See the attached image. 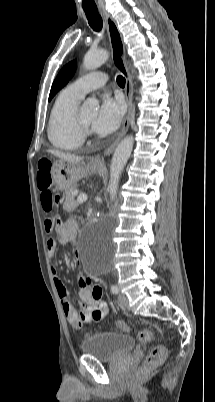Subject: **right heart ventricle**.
<instances>
[{
    "instance_id": "1",
    "label": "right heart ventricle",
    "mask_w": 215,
    "mask_h": 402,
    "mask_svg": "<svg viewBox=\"0 0 215 402\" xmlns=\"http://www.w3.org/2000/svg\"><path fill=\"white\" fill-rule=\"evenodd\" d=\"M82 97L68 88L56 97L51 108L47 135L50 143L62 150H76L83 144L84 137L75 123V113Z\"/></svg>"
}]
</instances>
